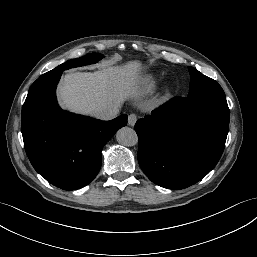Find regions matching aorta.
<instances>
[{
  "instance_id": "obj_1",
  "label": "aorta",
  "mask_w": 257,
  "mask_h": 257,
  "mask_svg": "<svg viewBox=\"0 0 257 257\" xmlns=\"http://www.w3.org/2000/svg\"><path fill=\"white\" fill-rule=\"evenodd\" d=\"M117 141L124 146H134L138 143V137L134 129L123 127L116 134Z\"/></svg>"
}]
</instances>
